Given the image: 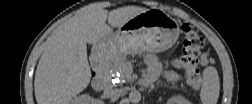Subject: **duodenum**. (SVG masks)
I'll return each instance as SVG.
<instances>
[{
  "label": "duodenum",
  "mask_w": 252,
  "mask_h": 104,
  "mask_svg": "<svg viewBox=\"0 0 252 104\" xmlns=\"http://www.w3.org/2000/svg\"><path fill=\"white\" fill-rule=\"evenodd\" d=\"M95 90L102 91L107 87V78L104 74H98L92 81Z\"/></svg>",
  "instance_id": "obj_1"
}]
</instances>
